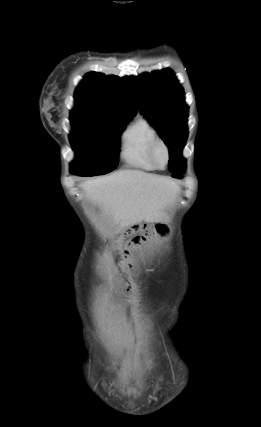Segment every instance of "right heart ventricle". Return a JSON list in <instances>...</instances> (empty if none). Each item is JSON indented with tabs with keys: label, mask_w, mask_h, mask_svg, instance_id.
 Masks as SVG:
<instances>
[{
	"label": "right heart ventricle",
	"mask_w": 261,
	"mask_h": 427,
	"mask_svg": "<svg viewBox=\"0 0 261 427\" xmlns=\"http://www.w3.org/2000/svg\"><path fill=\"white\" fill-rule=\"evenodd\" d=\"M158 138L150 120L140 115L121 133L119 155L130 168L155 171L157 169L151 161L150 148Z\"/></svg>",
	"instance_id": "right-heart-ventricle-1"
}]
</instances>
